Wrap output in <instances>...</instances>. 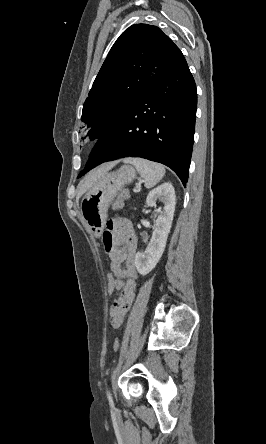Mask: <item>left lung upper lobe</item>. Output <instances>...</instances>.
<instances>
[{"label":"left lung upper lobe","mask_w":266,"mask_h":444,"mask_svg":"<svg viewBox=\"0 0 266 444\" xmlns=\"http://www.w3.org/2000/svg\"><path fill=\"white\" fill-rule=\"evenodd\" d=\"M183 59L160 28L135 24L125 30L108 53L83 105L81 120L90 129L87 135L101 138Z\"/></svg>","instance_id":"1"}]
</instances>
